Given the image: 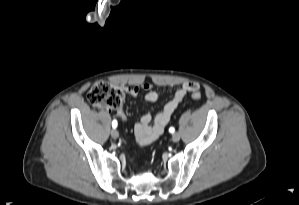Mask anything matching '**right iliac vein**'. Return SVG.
<instances>
[{
	"label": "right iliac vein",
	"mask_w": 299,
	"mask_h": 205,
	"mask_svg": "<svg viewBox=\"0 0 299 205\" xmlns=\"http://www.w3.org/2000/svg\"><path fill=\"white\" fill-rule=\"evenodd\" d=\"M111 136H112L113 139H117L118 136H119L118 131H117L116 129H113V130L111 131Z\"/></svg>",
	"instance_id": "1"
}]
</instances>
